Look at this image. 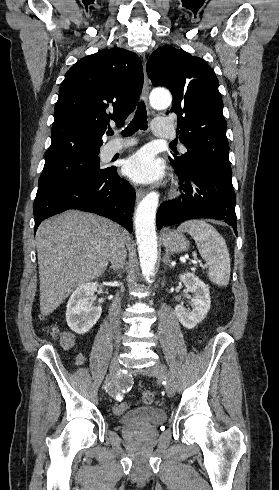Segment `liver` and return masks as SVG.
I'll return each instance as SVG.
<instances>
[{
    "mask_svg": "<svg viewBox=\"0 0 279 490\" xmlns=\"http://www.w3.org/2000/svg\"><path fill=\"white\" fill-rule=\"evenodd\" d=\"M116 236L129 240L118 224L78 210L40 224L35 244L42 316H50L75 288L104 274Z\"/></svg>",
    "mask_w": 279,
    "mask_h": 490,
    "instance_id": "liver-1",
    "label": "liver"
}]
</instances>
